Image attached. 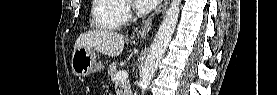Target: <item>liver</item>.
Instances as JSON below:
<instances>
[{
  "label": "liver",
  "instance_id": "6515ba94",
  "mask_svg": "<svg viewBox=\"0 0 277 95\" xmlns=\"http://www.w3.org/2000/svg\"><path fill=\"white\" fill-rule=\"evenodd\" d=\"M124 37L114 31L94 30L81 34L75 42L74 50L87 48L109 57L119 56L124 48Z\"/></svg>",
  "mask_w": 277,
  "mask_h": 95
}]
</instances>
